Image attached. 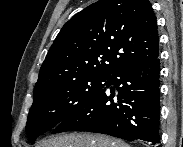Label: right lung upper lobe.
I'll use <instances>...</instances> for the list:
<instances>
[{
  "instance_id": "1",
  "label": "right lung upper lobe",
  "mask_w": 183,
  "mask_h": 147,
  "mask_svg": "<svg viewBox=\"0 0 183 147\" xmlns=\"http://www.w3.org/2000/svg\"><path fill=\"white\" fill-rule=\"evenodd\" d=\"M157 22L148 0H99L57 35L34 90L85 76L111 77L159 56Z\"/></svg>"
}]
</instances>
